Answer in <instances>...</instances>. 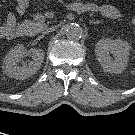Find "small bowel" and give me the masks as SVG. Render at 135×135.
I'll list each match as a JSON object with an SVG mask.
<instances>
[{
  "instance_id": "c3829d8e",
  "label": "small bowel",
  "mask_w": 135,
  "mask_h": 135,
  "mask_svg": "<svg viewBox=\"0 0 135 135\" xmlns=\"http://www.w3.org/2000/svg\"><path fill=\"white\" fill-rule=\"evenodd\" d=\"M6 2L7 0H1ZM84 9H98L99 12L106 18L116 19L120 16V13L116 7L110 4H90V5H80ZM27 8V0H17V5L14 12H9L7 20L4 24L0 25V38L8 37L12 38L16 35L17 31V21L16 14L22 16Z\"/></svg>"
}]
</instances>
